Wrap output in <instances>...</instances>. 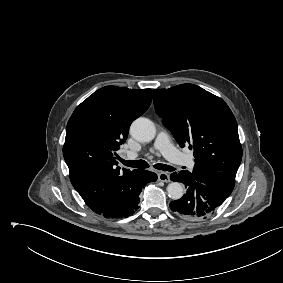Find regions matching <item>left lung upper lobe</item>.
I'll return each mask as SVG.
<instances>
[{"instance_id":"5c2ea615","label":"left lung upper lobe","mask_w":283,"mask_h":283,"mask_svg":"<svg viewBox=\"0 0 283 283\" xmlns=\"http://www.w3.org/2000/svg\"><path fill=\"white\" fill-rule=\"evenodd\" d=\"M156 113L183 148L194 151L195 166L186 173L229 196L242 159L236 119L219 97L193 84L154 89Z\"/></svg>"}]
</instances>
